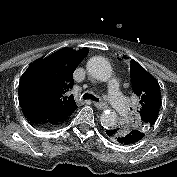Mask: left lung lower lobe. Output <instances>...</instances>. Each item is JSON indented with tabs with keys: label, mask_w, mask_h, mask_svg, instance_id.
<instances>
[{
	"label": "left lung lower lobe",
	"mask_w": 177,
	"mask_h": 177,
	"mask_svg": "<svg viewBox=\"0 0 177 177\" xmlns=\"http://www.w3.org/2000/svg\"><path fill=\"white\" fill-rule=\"evenodd\" d=\"M118 133V127L117 128H111L109 130H106V134L115 142L122 144V145H133L138 143L140 140L143 139L145 136V133L137 130V129H131L125 132L124 134L117 135Z\"/></svg>",
	"instance_id": "left-lung-lower-lobe-1"
}]
</instances>
